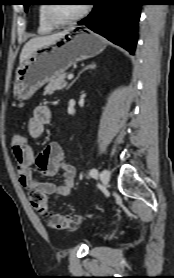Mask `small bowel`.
Segmentation results:
<instances>
[{"mask_svg": "<svg viewBox=\"0 0 174 278\" xmlns=\"http://www.w3.org/2000/svg\"><path fill=\"white\" fill-rule=\"evenodd\" d=\"M51 119L52 111L49 106H37L28 121L29 135L34 139L40 138ZM12 150L17 162L18 178L23 187L29 191H41L56 199L71 195L76 182V169L65 161L64 151L60 144L51 142L38 154L34 152L29 142L22 146L13 145ZM33 166L47 176L62 172V184L38 181L33 175Z\"/></svg>", "mask_w": 174, "mask_h": 278, "instance_id": "obj_1", "label": "small bowel"}]
</instances>
